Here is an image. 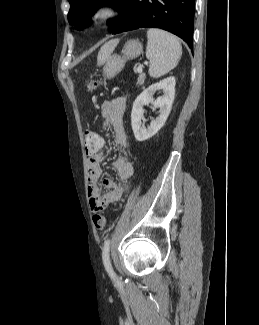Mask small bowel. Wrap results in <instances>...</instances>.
I'll list each match as a JSON object with an SVG mask.
<instances>
[{
	"mask_svg": "<svg viewBox=\"0 0 259 325\" xmlns=\"http://www.w3.org/2000/svg\"><path fill=\"white\" fill-rule=\"evenodd\" d=\"M126 109V100L124 98H116L105 101L101 106V118L105 129L112 128L115 133L116 143L122 147L127 146V136L124 129L123 117ZM97 135H99L97 133ZM86 149L89 161V183L88 198L92 210L97 211L105 206L115 204L128 191V181L134 174V167L131 160L126 155L118 156L113 167L118 176V182L112 178H104L103 186L108 190L102 194L99 188V180L102 175L101 162L104 158L102 149Z\"/></svg>",
	"mask_w": 259,
	"mask_h": 325,
	"instance_id": "small-bowel-1",
	"label": "small bowel"
}]
</instances>
